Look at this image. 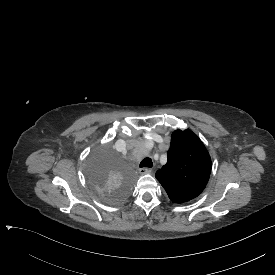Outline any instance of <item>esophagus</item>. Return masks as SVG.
<instances>
[{"instance_id": "obj_1", "label": "esophagus", "mask_w": 275, "mask_h": 275, "mask_svg": "<svg viewBox=\"0 0 275 275\" xmlns=\"http://www.w3.org/2000/svg\"><path fill=\"white\" fill-rule=\"evenodd\" d=\"M151 171H152V170H151L150 168H147V167H144V168L139 169V173H140L141 175L150 174Z\"/></svg>"}]
</instances>
